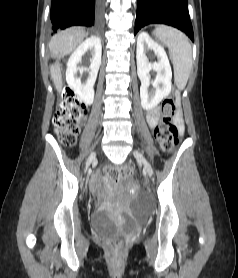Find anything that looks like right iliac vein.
Masks as SVG:
<instances>
[{
  "label": "right iliac vein",
  "mask_w": 238,
  "mask_h": 278,
  "mask_svg": "<svg viewBox=\"0 0 238 278\" xmlns=\"http://www.w3.org/2000/svg\"><path fill=\"white\" fill-rule=\"evenodd\" d=\"M94 157V152H92L88 158V161L91 160ZM90 164H87V166H84V169H89Z\"/></svg>",
  "instance_id": "right-iliac-vein-1"
}]
</instances>
